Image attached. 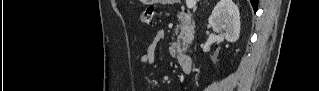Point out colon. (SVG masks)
<instances>
[{"instance_id": "1", "label": "colon", "mask_w": 319, "mask_h": 91, "mask_svg": "<svg viewBox=\"0 0 319 91\" xmlns=\"http://www.w3.org/2000/svg\"><path fill=\"white\" fill-rule=\"evenodd\" d=\"M155 8L153 6L146 7L141 15V22L145 25L151 26L153 24V16H154Z\"/></svg>"}]
</instances>
